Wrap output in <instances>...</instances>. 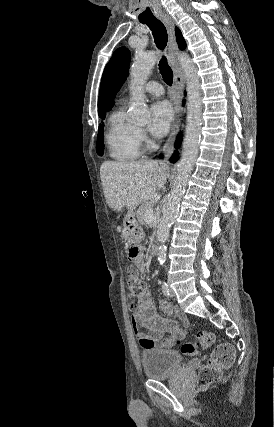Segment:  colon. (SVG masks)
Returning a JSON list of instances; mask_svg holds the SVG:
<instances>
[{"mask_svg":"<svg viewBox=\"0 0 274 427\" xmlns=\"http://www.w3.org/2000/svg\"><path fill=\"white\" fill-rule=\"evenodd\" d=\"M131 261L139 262L144 258V247L131 246ZM128 289L130 296L128 306L135 308L139 304V296L143 290L144 283L139 279L138 270L134 267L127 269ZM197 344L203 347H209L214 343V335L208 330H199L196 333ZM197 346L195 343H184L181 347L184 358H190L194 355ZM236 360V351L233 345L227 342H221L214 346L211 360L203 365L197 374L196 385L200 389H206L209 385L218 382L222 378V372L233 366Z\"/></svg>","mask_w":274,"mask_h":427,"instance_id":"colon-1","label":"colon"}]
</instances>
